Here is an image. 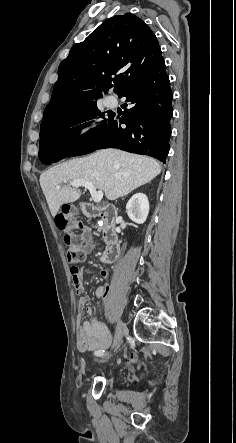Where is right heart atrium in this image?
Segmentation results:
<instances>
[{"label": "right heart atrium", "mask_w": 236, "mask_h": 443, "mask_svg": "<svg viewBox=\"0 0 236 443\" xmlns=\"http://www.w3.org/2000/svg\"><path fill=\"white\" fill-rule=\"evenodd\" d=\"M71 139L74 142L88 140L92 135L91 125L88 120H79L71 128Z\"/></svg>", "instance_id": "1"}]
</instances>
